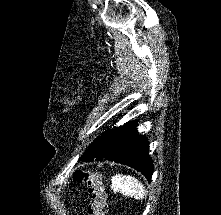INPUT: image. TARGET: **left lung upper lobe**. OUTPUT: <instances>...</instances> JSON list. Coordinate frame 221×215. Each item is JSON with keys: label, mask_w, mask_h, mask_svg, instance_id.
<instances>
[{"label": "left lung upper lobe", "mask_w": 221, "mask_h": 215, "mask_svg": "<svg viewBox=\"0 0 221 215\" xmlns=\"http://www.w3.org/2000/svg\"><path fill=\"white\" fill-rule=\"evenodd\" d=\"M113 130H109L106 133H103L98 139H96L88 149L83 153V155L79 158L80 161H93L96 158L101 157L106 149L109 138L112 134Z\"/></svg>", "instance_id": "1"}]
</instances>
